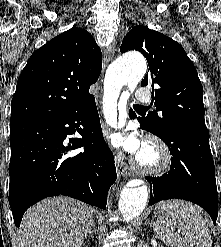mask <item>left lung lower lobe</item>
<instances>
[{
	"label": "left lung lower lobe",
	"instance_id": "obj_1",
	"mask_svg": "<svg viewBox=\"0 0 221 247\" xmlns=\"http://www.w3.org/2000/svg\"><path fill=\"white\" fill-rule=\"evenodd\" d=\"M130 118L135 112L130 110ZM142 129L155 134L138 118ZM157 135V134H155ZM160 137L172 154L170 171L161 177H146L150 183L149 205L165 199H183L204 208L216 224L218 194L208 130L186 131L174 127L168 137Z\"/></svg>",
	"mask_w": 221,
	"mask_h": 247
}]
</instances>
